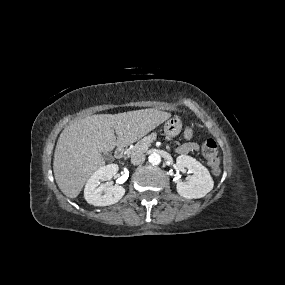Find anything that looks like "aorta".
Wrapping results in <instances>:
<instances>
[{
    "label": "aorta",
    "instance_id": "obj_1",
    "mask_svg": "<svg viewBox=\"0 0 285 285\" xmlns=\"http://www.w3.org/2000/svg\"><path fill=\"white\" fill-rule=\"evenodd\" d=\"M148 160L152 165H158L161 162V156L158 153H152L149 155Z\"/></svg>",
    "mask_w": 285,
    "mask_h": 285
}]
</instances>
